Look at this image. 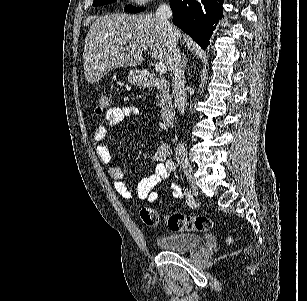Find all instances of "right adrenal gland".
Listing matches in <instances>:
<instances>
[{
    "mask_svg": "<svg viewBox=\"0 0 307 301\" xmlns=\"http://www.w3.org/2000/svg\"><path fill=\"white\" fill-rule=\"evenodd\" d=\"M183 64H184V68H185V66L187 64V56H186V54H184V56H183Z\"/></svg>",
    "mask_w": 307,
    "mask_h": 301,
    "instance_id": "obj_1",
    "label": "right adrenal gland"
}]
</instances>
